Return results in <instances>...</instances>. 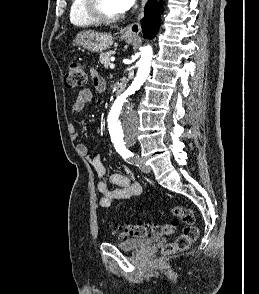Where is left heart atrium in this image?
Returning <instances> with one entry per match:
<instances>
[{
  "label": "left heart atrium",
  "mask_w": 259,
  "mask_h": 294,
  "mask_svg": "<svg viewBox=\"0 0 259 294\" xmlns=\"http://www.w3.org/2000/svg\"><path fill=\"white\" fill-rule=\"evenodd\" d=\"M118 2L122 11L124 12L129 10L133 6L135 0H118Z\"/></svg>",
  "instance_id": "39dd6f15"
}]
</instances>
